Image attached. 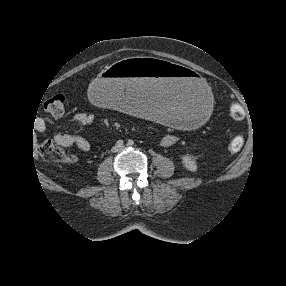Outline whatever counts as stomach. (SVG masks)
I'll use <instances>...</instances> for the list:
<instances>
[{
  "label": "stomach",
  "mask_w": 286,
  "mask_h": 286,
  "mask_svg": "<svg viewBox=\"0 0 286 286\" xmlns=\"http://www.w3.org/2000/svg\"><path fill=\"white\" fill-rule=\"evenodd\" d=\"M85 94L94 106L173 130L200 126L214 104L213 89L202 74L149 57L112 64L87 85Z\"/></svg>",
  "instance_id": "stomach-1"
}]
</instances>
